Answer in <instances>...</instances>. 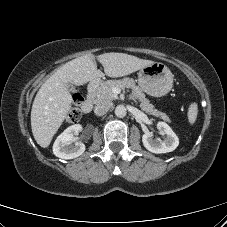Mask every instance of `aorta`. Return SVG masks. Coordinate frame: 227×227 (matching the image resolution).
Listing matches in <instances>:
<instances>
[{"instance_id": "obj_1", "label": "aorta", "mask_w": 227, "mask_h": 227, "mask_svg": "<svg viewBox=\"0 0 227 227\" xmlns=\"http://www.w3.org/2000/svg\"><path fill=\"white\" fill-rule=\"evenodd\" d=\"M126 113H127V110H126L125 106H123V105H118L115 108V115L119 118L125 117Z\"/></svg>"}]
</instances>
